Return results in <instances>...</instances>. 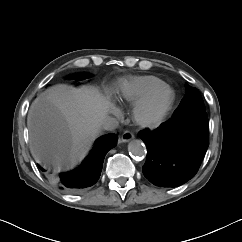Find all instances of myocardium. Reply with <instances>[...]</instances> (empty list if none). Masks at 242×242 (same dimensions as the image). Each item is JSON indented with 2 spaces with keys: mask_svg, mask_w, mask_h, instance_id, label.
Returning a JSON list of instances; mask_svg holds the SVG:
<instances>
[{
  "mask_svg": "<svg viewBox=\"0 0 242 242\" xmlns=\"http://www.w3.org/2000/svg\"><path fill=\"white\" fill-rule=\"evenodd\" d=\"M176 101V92L170 86L161 87L135 103L132 110L133 121L142 128L154 129L160 126L170 114ZM157 106L152 117L146 113Z\"/></svg>",
  "mask_w": 242,
  "mask_h": 242,
  "instance_id": "1",
  "label": "myocardium"
}]
</instances>
